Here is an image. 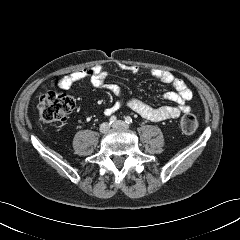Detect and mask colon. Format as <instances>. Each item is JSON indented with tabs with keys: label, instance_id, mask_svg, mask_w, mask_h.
Listing matches in <instances>:
<instances>
[{
	"label": "colon",
	"instance_id": "1",
	"mask_svg": "<svg viewBox=\"0 0 240 240\" xmlns=\"http://www.w3.org/2000/svg\"><path fill=\"white\" fill-rule=\"evenodd\" d=\"M61 86V80L58 81ZM74 108L73 98L63 92L49 91L45 93L38 104L39 119L41 126H49L55 123L63 122ZM181 130L184 133L191 134L197 130L198 121L192 114H186L180 121Z\"/></svg>",
	"mask_w": 240,
	"mask_h": 240
}]
</instances>
